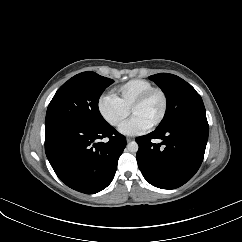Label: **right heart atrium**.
<instances>
[{"mask_svg":"<svg viewBox=\"0 0 242 242\" xmlns=\"http://www.w3.org/2000/svg\"><path fill=\"white\" fill-rule=\"evenodd\" d=\"M98 111L101 117L112 127H120L128 118L130 112L123 107L112 95L99 99Z\"/></svg>","mask_w":242,"mask_h":242,"instance_id":"d8ad5b80","label":"right heart atrium"}]
</instances>
